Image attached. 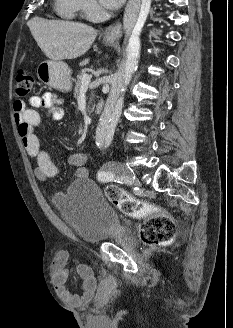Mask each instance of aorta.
Listing matches in <instances>:
<instances>
[{
	"label": "aorta",
	"instance_id": "obj_1",
	"mask_svg": "<svg viewBox=\"0 0 233 328\" xmlns=\"http://www.w3.org/2000/svg\"><path fill=\"white\" fill-rule=\"evenodd\" d=\"M151 6V0H129L123 16L125 37H129L125 65L120 67L110 81V92L101 113L95 141L99 147H109L124 105V91L138 66L140 34Z\"/></svg>",
	"mask_w": 233,
	"mask_h": 328
}]
</instances>
